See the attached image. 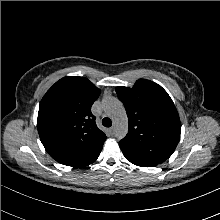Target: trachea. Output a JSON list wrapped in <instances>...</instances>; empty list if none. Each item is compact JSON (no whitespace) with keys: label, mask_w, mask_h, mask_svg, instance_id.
<instances>
[{"label":"trachea","mask_w":220,"mask_h":220,"mask_svg":"<svg viewBox=\"0 0 220 220\" xmlns=\"http://www.w3.org/2000/svg\"><path fill=\"white\" fill-rule=\"evenodd\" d=\"M102 125L105 126V127H111L112 126L111 119L108 118V117L103 118Z\"/></svg>","instance_id":"obj_1"}]
</instances>
